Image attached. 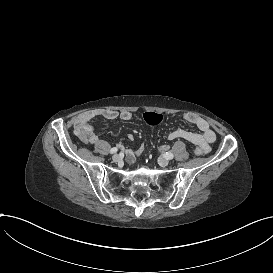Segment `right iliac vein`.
I'll return each instance as SVG.
<instances>
[{
	"instance_id": "63e3f726",
	"label": "right iliac vein",
	"mask_w": 273,
	"mask_h": 273,
	"mask_svg": "<svg viewBox=\"0 0 273 273\" xmlns=\"http://www.w3.org/2000/svg\"><path fill=\"white\" fill-rule=\"evenodd\" d=\"M112 159H113V161L118 162V161H120L121 156H120L119 154H114V155L112 156Z\"/></svg>"
}]
</instances>
